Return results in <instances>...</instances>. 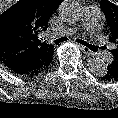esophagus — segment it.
I'll use <instances>...</instances> for the list:
<instances>
[{
	"mask_svg": "<svg viewBox=\"0 0 118 118\" xmlns=\"http://www.w3.org/2000/svg\"><path fill=\"white\" fill-rule=\"evenodd\" d=\"M80 49L82 50V52L88 56H93L94 53L87 47L79 45Z\"/></svg>",
	"mask_w": 118,
	"mask_h": 118,
	"instance_id": "1",
	"label": "esophagus"
}]
</instances>
